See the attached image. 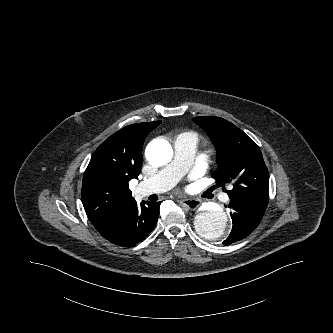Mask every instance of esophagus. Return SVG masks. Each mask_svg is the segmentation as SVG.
I'll return each instance as SVG.
<instances>
[{
	"label": "esophagus",
	"mask_w": 333,
	"mask_h": 333,
	"mask_svg": "<svg viewBox=\"0 0 333 333\" xmlns=\"http://www.w3.org/2000/svg\"><path fill=\"white\" fill-rule=\"evenodd\" d=\"M180 203L190 210H195L200 206L201 201L198 199L183 198L180 200Z\"/></svg>",
	"instance_id": "34e87169"
}]
</instances>
